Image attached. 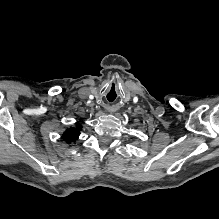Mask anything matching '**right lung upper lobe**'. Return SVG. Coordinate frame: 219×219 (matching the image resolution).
I'll return each instance as SVG.
<instances>
[{"label": "right lung upper lobe", "instance_id": "obj_1", "mask_svg": "<svg viewBox=\"0 0 219 219\" xmlns=\"http://www.w3.org/2000/svg\"><path fill=\"white\" fill-rule=\"evenodd\" d=\"M82 129V126L79 124L77 125L75 128L71 127L69 129H67L64 133H63V139L67 142V143H71V142H75L80 134V130Z\"/></svg>", "mask_w": 219, "mask_h": 219}]
</instances>
